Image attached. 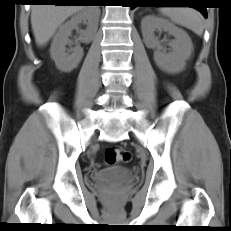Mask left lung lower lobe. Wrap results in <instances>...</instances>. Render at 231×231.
<instances>
[{
  "mask_svg": "<svg viewBox=\"0 0 231 231\" xmlns=\"http://www.w3.org/2000/svg\"><path fill=\"white\" fill-rule=\"evenodd\" d=\"M136 4H139L138 6L141 7H157V4L162 3V0H134ZM191 5L194 6H189L198 9L205 17H207V12L205 7H201V4L197 3H192ZM135 6L131 7L132 9Z\"/></svg>",
  "mask_w": 231,
  "mask_h": 231,
  "instance_id": "left-lung-lower-lobe-1",
  "label": "left lung lower lobe"
}]
</instances>
